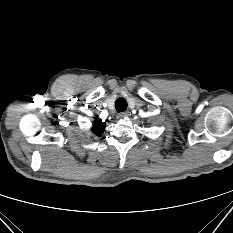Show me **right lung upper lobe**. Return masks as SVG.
Masks as SVG:
<instances>
[{
    "instance_id": "1",
    "label": "right lung upper lobe",
    "mask_w": 233,
    "mask_h": 233,
    "mask_svg": "<svg viewBox=\"0 0 233 233\" xmlns=\"http://www.w3.org/2000/svg\"><path fill=\"white\" fill-rule=\"evenodd\" d=\"M104 127H105V123H103L101 119H97L95 121L92 131L96 135H101V133L104 131Z\"/></svg>"
}]
</instances>
